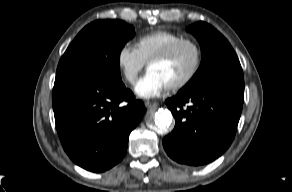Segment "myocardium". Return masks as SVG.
<instances>
[{
    "mask_svg": "<svg viewBox=\"0 0 292 192\" xmlns=\"http://www.w3.org/2000/svg\"><path fill=\"white\" fill-rule=\"evenodd\" d=\"M184 46H190L193 48L195 52V63L191 71L180 81L168 86V89L172 91H178L186 86H188L198 75L202 64H203V51L200 46V44L191 38H182L176 42H174L172 45H170L167 49L162 51L161 53L157 54L156 56L152 57L147 62V68H149L150 65L154 63L164 62L172 58L182 47Z\"/></svg>",
    "mask_w": 292,
    "mask_h": 192,
    "instance_id": "1",
    "label": "myocardium"
}]
</instances>
